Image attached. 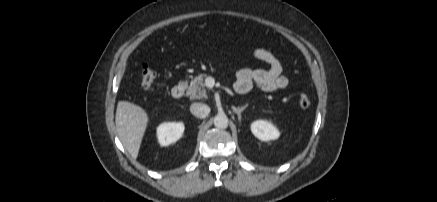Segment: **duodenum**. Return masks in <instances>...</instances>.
<instances>
[{
	"mask_svg": "<svg viewBox=\"0 0 437 202\" xmlns=\"http://www.w3.org/2000/svg\"><path fill=\"white\" fill-rule=\"evenodd\" d=\"M185 89L186 87L183 83H178L175 86H173L171 90V94L174 98L179 99L184 95Z\"/></svg>",
	"mask_w": 437,
	"mask_h": 202,
	"instance_id": "duodenum-1",
	"label": "duodenum"
}]
</instances>
